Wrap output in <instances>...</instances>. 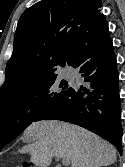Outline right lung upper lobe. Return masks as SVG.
<instances>
[{"mask_svg":"<svg viewBox=\"0 0 125 167\" xmlns=\"http://www.w3.org/2000/svg\"><path fill=\"white\" fill-rule=\"evenodd\" d=\"M101 0H41L21 15L0 100L75 67L82 51L108 28Z\"/></svg>","mask_w":125,"mask_h":167,"instance_id":"1","label":"right lung upper lobe"}]
</instances>
